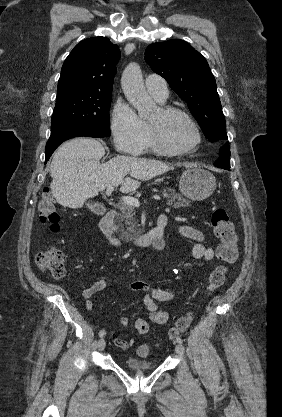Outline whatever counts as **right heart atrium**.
<instances>
[{"mask_svg":"<svg viewBox=\"0 0 282 417\" xmlns=\"http://www.w3.org/2000/svg\"><path fill=\"white\" fill-rule=\"evenodd\" d=\"M111 131L116 148L126 154L142 153L148 143L149 127L127 104L118 102L111 117Z\"/></svg>","mask_w":282,"mask_h":417,"instance_id":"right-heart-atrium-1","label":"right heart atrium"}]
</instances>
